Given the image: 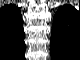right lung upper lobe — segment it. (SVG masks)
Listing matches in <instances>:
<instances>
[{"label":"right lung upper lobe","mask_w":80,"mask_h":60,"mask_svg":"<svg viewBox=\"0 0 80 60\" xmlns=\"http://www.w3.org/2000/svg\"><path fill=\"white\" fill-rule=\"evenodd\" d=\"M24 47L22 16L15 5H6L0 10V52L14 53Z\"/></svg>","instance_id":"obj_1"}]
</instances>
